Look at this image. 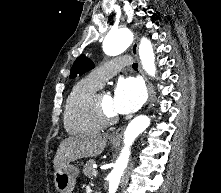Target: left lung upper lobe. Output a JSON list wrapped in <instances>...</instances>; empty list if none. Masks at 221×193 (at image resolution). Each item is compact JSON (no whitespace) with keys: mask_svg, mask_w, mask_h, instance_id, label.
Instances as JSON below:
<instances>
[{"mask_svg":"<svg viewBox=\"0 0 221 193\" xmlns=\"http://www.w3.org/2000/svg\"><path fill=\"white\" fill-rule=\"evenodd\" d=\"M93 67L94 65L90 60L85 58V56H80L76 59L72 66L70 78H74L77 74L82 75L93 69Z\"/></svg>","mask_w":221,"mask_h":193,"instance_id":"left-lung-upper-lobe-1","label":"left lung upper lobe"}]
</instances>
